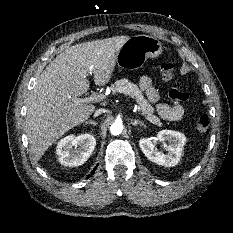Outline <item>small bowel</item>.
<instances>
[{"label":"small bowel","mask_w":233,"mask_h":233,"mask_svg":"<svg viewBox=\"0 0 233 233\" xmlns=\"http://www.w3.org/2000/svg\"><path fill=\"white\" fill-rule=\"evenodd\" d=\"M139 87L146 93L150 102H156L159 98L157 90L153 87L147 76H141L138 80ZM158 115L168 121H179L183 118L185 110L180 104L168 105L160 103L156 106Z\"/></svg>","instance_id":"small-bowel-1"}]
</instances>
